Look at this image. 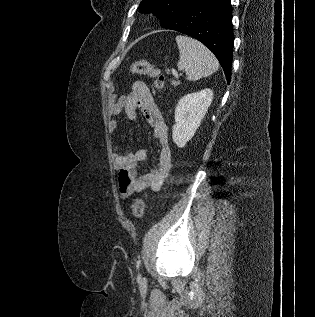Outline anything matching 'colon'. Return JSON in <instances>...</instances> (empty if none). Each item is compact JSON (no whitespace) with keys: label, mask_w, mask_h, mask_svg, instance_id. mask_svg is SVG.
<instances>
[{"label":"colon","mask_w":315,"mask_h":317,"mask_svg":"<svg viewBox=\"0 0 315 317\" xmlns=\"http://www.w3.org/2000/svg\"><path fill=\"white\" fill-rule=\"evenodd\" d=\"M130 70L134 74L145 75L153 80L154 87L157 91H161L164 86V77L161 71L153 64L146 60H137L132 63ZM145 201L138 197L132 207V214L135 218L140 219L145 212Z\"/></svg>","instance_id":"1"}]
</instances>
